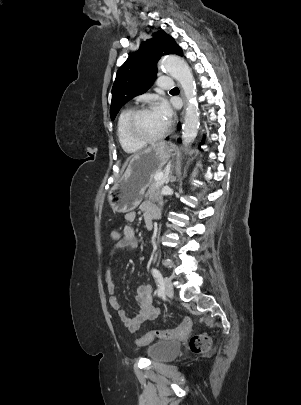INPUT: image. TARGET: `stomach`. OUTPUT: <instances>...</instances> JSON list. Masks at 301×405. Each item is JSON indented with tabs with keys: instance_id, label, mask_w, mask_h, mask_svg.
<instances>
[{
	"instance_id": "0dacf381",
	"label": "stomach",
	"mask_w": 301,
	"mask_h": 405,
	"mask_svg": "<svg viewBox=\"0 0 301 405\" xmlns=\"http://www.w3.org/2000/svg\"><path fill=\"white\" fill-rule=\"evenodd\" d=\"M174 151L173 145L160 142L132 157L124 174L109 192L111 208L119 213L134 210L142 201L145 190L153 183L154 175Z\"/></svg>"
}]
</instances>
